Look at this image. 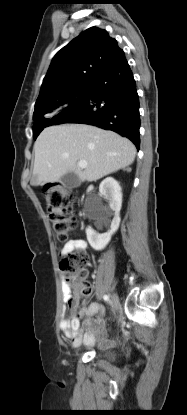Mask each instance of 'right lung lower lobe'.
<instances>
[{
  "mask_svg": "<svg viewBox=\"0 0 187 415\" xmlns=\"http://www.w3.org/2000/svg\"><path fill=\"white\" fill-rule=\"evenodd\" d=\"M60 123L112 130L130 139L139 149V97L124 52L90 81L89 92L55 116L52 125Z\"/></svg>",
  "mask_w": 187,
  "mask_h": 415,
  "instance_id": "1",
  "label": "right lung lower lobe"
}]
</instances>
